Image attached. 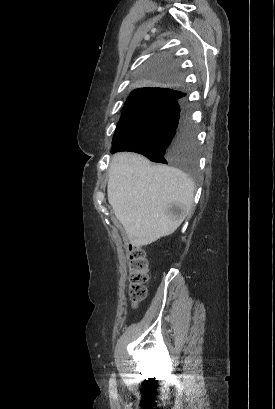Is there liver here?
<instances>
[{
  "label": "liver",
  "instance_id": "1",
  "mask_svg": "<svg viewBox=\"0 0 275 409\" xmlns=\"http://www.w3.org/2000/svg\"><path fill=\"white\" fill-rule=\"evenodd\" d=\"M194 190L192 178L180 168L150 164L148 158L136 152H117L112 156L108 200L134 247L172 235L191 209ZM170 202L186 209L180 221H171L166 215Z\"/></svg>",
  "mask_w": 275,
  "mask_h": 409
}]
</instances>
